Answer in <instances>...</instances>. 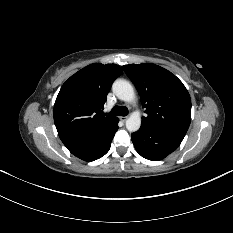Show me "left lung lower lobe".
I'll return each instance as SVG.
<instances>
[{
  "mask_svg": "<svg viewBox=\"0 0 233 233\" xmlns=\"http://www.w3.org/2000/svg\"><path fill=\"white\" fill-rule=\"evenodd\" d=\"M184 136L142 124L138 132L131 135L136 151L144 158L157 161L178 148Z\"/></svg>",
  "mask_w": 233,
  "mask_h": 233,
  "instance_id": "0a47b994",
  "label": "left lung lower lobe"
}]
</instances>
